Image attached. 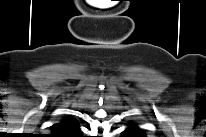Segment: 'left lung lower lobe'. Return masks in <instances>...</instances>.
Masks as SVG:
<instances>
[{"mask_svg":"<svg viewBox=\"0 0 206 137\" xmlns=\"http://www.w3.org/2000/svg\"><path fill=\"white\" fill-rule=\"evenodd\" d=\"M124 137H142L143 133L141 130H138L133 127H128L124 132H123Z\"/></svg>","mask_w":206,"mask_h":137,"instance_id":"0a47b994","label":"left lung lower lobe"}]
</instances>
